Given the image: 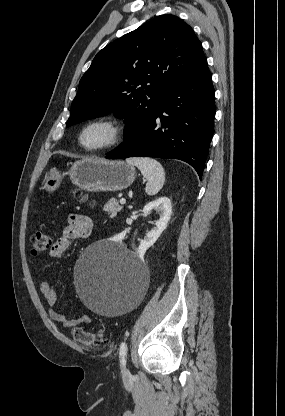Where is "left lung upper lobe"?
Masks as SVG:
<instances>
[{"instance_id": "5c2ea615", "label": "left lung upper lobe", "mask_w": 285, "mask_h": 416, "mask_svg": "<svg viewBox=\"0 0 285 416\" xmlns=\"http://www.w3.org/2000/svg\"><path fill=\"white\" fill-rule=\"evenodd\" d=\"M192 28L160 15L103 48L79 83L66 127L114 113L124 138L141 127L204 57Z\"/></svg>"}]
</instances>
